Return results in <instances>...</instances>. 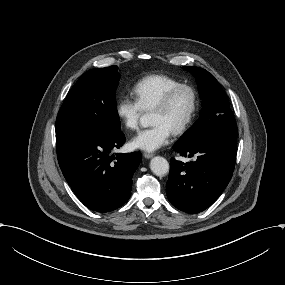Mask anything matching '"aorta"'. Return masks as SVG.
Returning <instances> with one entry per match:
<instances>
[{
  "mask_svg": "<svg viewBox=\"0 0 285 285\" xmlns=\"http://www.w3.org/2000/svg\"><path fill=\"white\" fill-rule=\"evenodd\" d=\"M149 122L146 116L141 117V123L147 125ZM150 168L152 172L157 176H164L169 172V163L168 161L160 156H156L151 159Z\"/></svg>",
  "mask_w": 285,
  "mask_h": 285,
  "instance_id": "762f6f07",
  "label": "aorta"
}]
</instances>
